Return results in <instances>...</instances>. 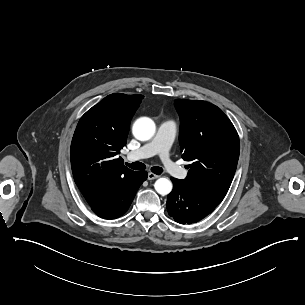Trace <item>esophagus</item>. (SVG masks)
Masks as SVG:
<instances>
[{
	"label": "esophagus",
	"mask_w": 305,
	"mask_h": 305,
	"mask_svg": "<svg viewBox=\"0 0 305 305\" xmlns=\"http://www.w3.org/2000/svg\"><path fill=\"white\" fill-rule=\"evenodd\" d=\"M159 177H160L159 175H156V174L150 172V173H148L147 179H148V180H153V179H157V178H159Z\"/></svg>",
	"instance_id": "34e87169"
}]
</instances>
